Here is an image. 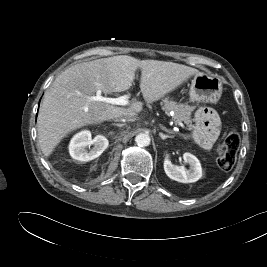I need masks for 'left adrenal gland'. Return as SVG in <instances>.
Returning <instances> with one entry per match:
<instances>
[{
  "instance_id": "obj_1",
  "label": "left adrenal gland",
  "mask_w": 267,
  "mask_h": 267,
  "mask_svg": "<svg viewBox=\"0 0 267 267\" xmlns=\"http://www.w3.org/2000/svg\"><path fill=\"white\" fill-rule=\"evenodd\" d=\"M162 130H164L165 132L169 133V134H174V132L172 130L167 129L166 127L162 126L161 127ZM159 136L161 137V139L165 140L167 138H174L173 135H165L163 133H159Z\"/></svg>"
}]
</instances>
